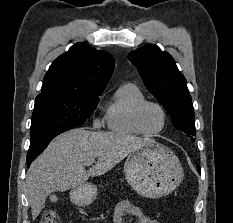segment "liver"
I'll return each mask as SVG.
<instances>
[{
    "instance_id": "1",
    "label": "liver",
    "mask_w": 233,
    "mask_h": 223,
    "mask_svg": "<svg viewBox=\"0 0 233 223\" xmlns=\"http://www.w3.org/2000/svg\"><path fill=\"white\" fill-rule=\"evenodd\" d=\"M146 141L151 143L154 139L114 131H88V127L69 129L55 137L27 171L25 185L32 219L38 217L50 193L66 191L89 177L107 173ZM94 161L95 165L86 169Z\"/></svg>"
}]
</instances>
